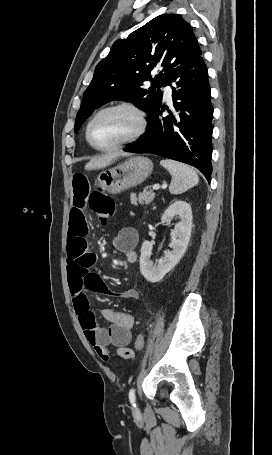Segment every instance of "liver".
Masks as SVG:
<instances>
[{
	"label": "liver",
	"mask_w": 272,
	"mask_h": 455,
	"mask_svg": "<svg viewBox=\"0 0 272 455\" xmlns=\"http://www.w3.org/2000/svg\"><path fill=\"white\" fill-rule=\"evenodd\" d=\"M117 156H118L117 154H108V155H103L101 157L94 158L85 165V169L94 170V169L105 168V167L111 165Z\"/></svg>",
	"instance_id": "6515ba94"
}]
</instances>
